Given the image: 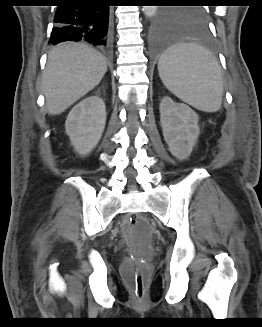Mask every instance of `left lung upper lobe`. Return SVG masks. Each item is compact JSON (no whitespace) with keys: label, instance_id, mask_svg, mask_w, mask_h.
I'll return each mask as SVG.
<instances>
[{"label":"left lung upper lobe","instance_id":"obj_1","mask_svg":"<svg viewBox=\"0 0 262 327\" xmlns=\"http://www.w3.org/2000/svg\"><path fill=\"white\" fill-rule=\"evenodd\" d=\"M197 2V1H184ZM168 20L177 25L200 27L206 24V15L202 7H188L182 9H168L165 12Z\"/></svg>","mask_w":262,"mask_h":327}]
</instances>
